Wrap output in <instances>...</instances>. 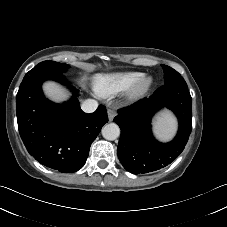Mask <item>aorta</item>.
Instances as JSON below:
<instances>
[{
    "mask_svg": "<svg viewBox=\"0 0 227 227\" xmlns=\"http://www.w3.org/2000/svg\"><path fill=\"white\" fill-rule=\"evenodd\" d=\"M102 136L106 140L113 141L117 139L120 135V128L117 124L115 123H109L103 126L102 128Z\"/></svg>",
    "mask_w": 227,
    "mask_h": 227,
    "instance_id": "762f6f07",
    "label": "aorta"
}]
</instances>
